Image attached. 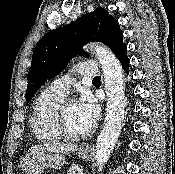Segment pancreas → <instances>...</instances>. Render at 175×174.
Wrapping results in <instances>:
<instances>
[{
  "instance_id": "pancreas-1",
  "label": "pancreas",
  "mask_w": 175,
  "mask_h": 174,
  "mask_svg": "<svg viewBox=\"0 0 175 174\" xmlns=\"http://www.w3.org/2000/svg\"><path fill=\"white\" fill-rule=\"evenodd\" d=\"M80 167L78 165H72L69 170H67V174H77V171H79Z\"/></svg>"
}]
</instances>
